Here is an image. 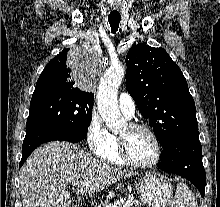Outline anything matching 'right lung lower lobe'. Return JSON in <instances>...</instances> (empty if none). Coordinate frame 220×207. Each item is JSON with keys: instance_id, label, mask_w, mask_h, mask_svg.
<instances>
[{"instance_id": "98d812e1", "label": "right lung lower lobe", "mask_w": 220, "mask_h": 207, "mask_svg": "<svg viewBox=\"0 0 220 207\" xmlns=\"http://www.w3.org/2000/svg\"><path fill=\"white\" fill-rule=\"evenodd\" d=\"M87 133L84 131H71V130H36L27 133L23 141L22 147V159L20 161V167L26 161L28 156L32 153L34 149L43 143L49 141H69V142H79L85 138Z\"/></svg>"}]
</instances>
